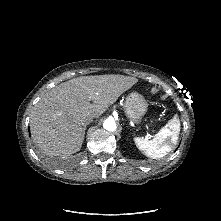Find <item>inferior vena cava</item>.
<instances>
[{
    "mask_svg": "<svg viewBox=\"0 0 221 221\" xmlns=\"http://www.w3.org/2000/svg\"><path fill=\"white\" fill-rule=\"evenodd\" d=\"M92 121H93V117L91 115H87L82 118L81 124L86 126V125L90 124Z\"/></svg>",
    "mask_w": 221,
    "mask_h": 221,
    "instance_id": "602c4592",
    "label": "inferior vena cava"
}]
</instances>
